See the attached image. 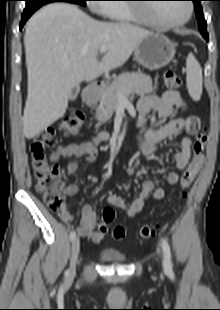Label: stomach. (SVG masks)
Instances as JSON below:
<instances>
[{
	"mask_svg": "<svg viewBox=\"0 0 220 310\" xmlns=\"http://www.w3.org/2000/svg\"><path fill=\"white\" fill-rule=\"evenodd\" d=\"M174 55L175 45L163 34H151L144 37L134 49V59L150 70L165 67Z\"/></svg>",
	"mask_w": 220,
	"mask_h": 310,
	"instance_id": "0dacf381",
	"label": "stomach"
}]
</instances>
